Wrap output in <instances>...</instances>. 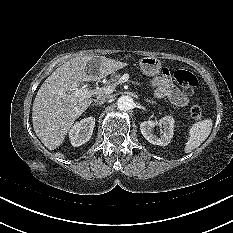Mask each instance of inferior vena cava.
Wrapping results in <instances>:
<instances>
[{"instance_id":"1","label":"inferior vena cava","mask_w":233,"mask_h":233,"mask_svg":"<svg viewBox=\"0 0 233 233\" xmlns=\"http://www.w3.org/2000/svg\"><path fill=\"white\" fill-rule=\"evenodd\" d=\"M109 99H110L109 96H105V95L98 96L97 99H95V103L97 105H102L103 103L107 102Z\"/></svg>"}]
</instances>
